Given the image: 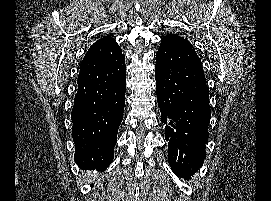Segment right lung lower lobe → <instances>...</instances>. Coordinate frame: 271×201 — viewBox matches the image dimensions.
I'll list each match as a JSON object with an SVG mask.
<instances>
[{"label":"right lung lower lobe","instance_id":"98d812e1","mask_svg":"<svg viewBox=\"0 0 271 201\" xmlns=\"http://www.w3.org/2000/svg\"><path fill=\"white\" fill-rule=\"evenodd\" d=\"M96 41L85 54L71 113L75 162L105 170L113 161L126 90L125 56L115 40Z\"/></svg>","mask_w":271,"mask_h":201}]
</instances>
